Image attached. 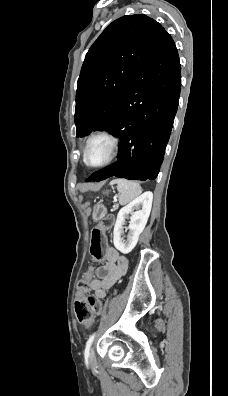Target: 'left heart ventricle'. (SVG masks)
I'll list each match as a JSON object with an SVG mask.
<instances>
[{
	"label": "left heart ventricle",
	"instance_id": "left-heart-ventricle-1",
	"mask_svg": "<svg viewBox=\"0 0 228 396\" xmlns=\"http://www.w3.org/2000/svg\"><path fill=\"white\" fill-rule=\"evenodd\" d=\"M110 144L104 138L94 139L88 148L87 158L92 164L103 162L109 154Z\"/></svg>",
	"mask_w": 228,
	"mask_h": 396
}]
</instances>
